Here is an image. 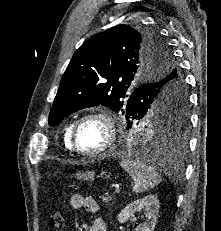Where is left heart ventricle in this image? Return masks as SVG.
I'll return each instance as SVG.
<instances>
[{
	"mask_svg": "<svg viewBox=\"0 0 221 231\" xmlns=\"http://www.w3.org/2000/svg\"><path fill=\"white\" fill-rule=\"evenodd\" d=\"M107 136L108 130L102 120L89 119L77 131V146L83 151H94L105 144Z\"/></svg>",
	"mask_w": 221,
	"mask_h": 231,
	"instance_id": "b2bd125f",
	"label": "left heart ventricle"
}]
</instances>
